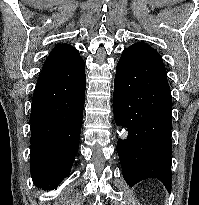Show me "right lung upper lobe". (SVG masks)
Here are the masks:
<instances>
[{"instance_id": "1", "label": "right lung upper lobe", "mask_w": 199, "mask_h": 205, "mask_svg": "<svg viewBox=\"0 0 199 205\" xmlns=\"http://www.w3.org/2000/svg\"><path fill=\"white\" fill-rule=\"evenodd\" d=\"M85 70V63L76 48L68 44L56 46L47 57L39 79L48 81L54 88L69 77H74Z\"/></svg>"}]
</instances>
